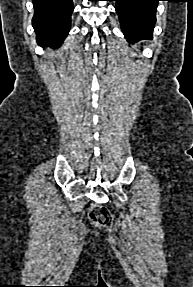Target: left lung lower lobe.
<instances>
[{
    "label": "left lung lower lobe",
    "instance_id": "obj_1",
    "mask_svg": "<svg viewBox=\"0 0 193 287\" xmlns=\"http://www.w3.org/2000/svg\"><path fill=\"white\" fill-rule=\"evenodd\" d=\"M116 1L121 29L129 42L150 38L156 22V9L162 0Z\"/></svg>",
    "mask_w": 193,
    "mask_h": 287
}]
</instances>
